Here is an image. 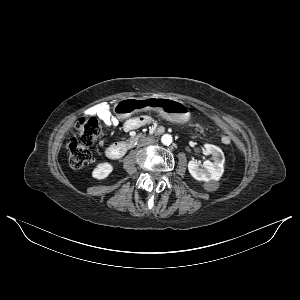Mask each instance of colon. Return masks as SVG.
Instances as JSON below:
<instances>
[{"label": "colon", "mask_w": 300, "mask_h": 300, "mask_svg": "<svg viewBox=\"0 0 300 300\" xmlns=\"http://www.w3.org/2000/svg\"><path fill=\"white\" fill-rule=\"evenodd\" d=\"M78 130L79 137L71 138L68 144L69 164L74 169H79L90 161L91 146L102 145L106 141V135L95 118L84 119L79 124Z\"/></svg>", "instance_id": "colon-1"}]
</instances>
